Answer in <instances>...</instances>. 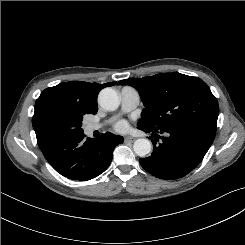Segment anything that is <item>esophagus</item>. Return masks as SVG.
<instances>
[{"label": "esophagus", "instance_id": "obj_1", "mask_svg": "<svg viewBox=\"0 0 245 245\" xmlns=\"http://www.w3.org/2000/svg\"><path fill=\"white\" fill-rule=\"evenodd\" d=\"M135 140L134 137H131V136H126L125 137V142H133Z\"/></svg>", "mask_w": 245, "mask_h": 245}]
</instances>
